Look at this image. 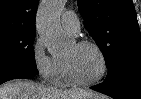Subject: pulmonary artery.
<instances>
[{"label":"pulmonary artery","mask_w":141,"mask_h":99,"mask_svg":"<svg viewBox=\"0 0 141 99\" xmlns=\"http://www.w3.org/2000/svg\"><path fill=\"white\" fill-rule=\"evenodd\" d=\"M62 28L74 35H77L80 31V22L76 14L72 11H66L61 17Z\"/></svg>","instance_id":"e3ab8cb5"}]
</instances>
